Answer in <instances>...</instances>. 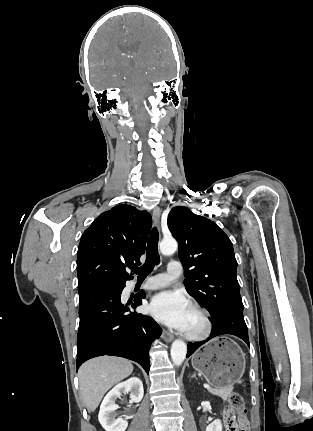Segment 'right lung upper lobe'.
Segmentation results:
<instances>
[{
    "label": "right lung upper lobe",
    "mask_w": 313,
    "mask_h": 431,
    "mask_svg": "<svg viewBox=\"0 0 313 431\" xmlns=\"http://www.w3.org/2000/svg\"><path fill=\"white\" fill-rule=\"evenodd\" d=\"M151 225L147 211L130 205H117L100 214L81 236L77 253L78 290L132 279L126 267L140 264Z\"/></svg>",
    "instance_id": "obj_1"
}]
</instances>
